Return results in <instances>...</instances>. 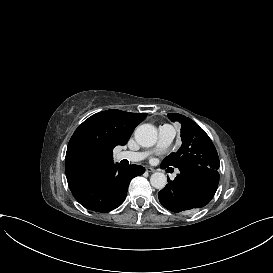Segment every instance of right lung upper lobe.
<instances>
[{"instance_id":"1","label":"right lung upper lobe","mask_w":273,"mask_h":273,"mask_svg":"<svg viewBox=\"0 0 273 273\" xmlns=\"http://www.w3.org/2000/svg\"><path fill=\"white\" fill-rule=\"evenodd\" d=\"M147 113L106 110L86 119L72 135L65 157L70 190L113 164V149L125 145Z\"/></svg>"}]
</instances>
